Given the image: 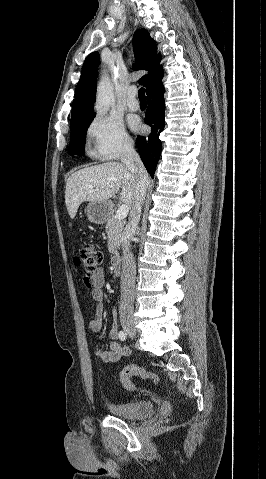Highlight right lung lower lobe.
<instances>
[{"label":"right lung lower lobe","mask_w":266,"mask_h":479,"mask_svg":"<svg viewBox=\"0 0 266 479\" xmlns=\"http://www.w3.org/2000/svg\"><path fill=\"white\" fill-rule=\"evenodd\" d=\"M146 94L148 109L145 114V123L148 124L152 130L148 137H137V147L142 162L153 178L162 150L159 135L165 126L164 87L162 82L150 88Z\"/></svg>","instance_id":"right-lung-lower-lobe-1"}]
</instances>
